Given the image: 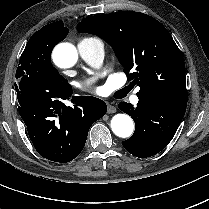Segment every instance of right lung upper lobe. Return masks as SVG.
Here are the masks:
<instances>
[{"mask_svg":"<svg viewBox=\"0 0 209 209\" xmlns=\"http://www.w3.org/2000/svg\"><path fill=\"white\" fill-rule=\"evenodd\" d=\"M49 30L53 32V35L56 40V44L60 41H62L68 34V29L64 27V24L62 21H57L51 24H48L41 28L40 30Z\"/></svg>","mask_w":209,"mask_h":209,"instance_id":"1","label":"right lung upper lobe"}]
</instances>
